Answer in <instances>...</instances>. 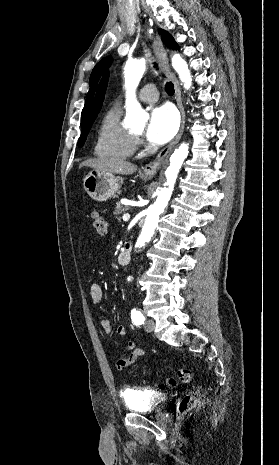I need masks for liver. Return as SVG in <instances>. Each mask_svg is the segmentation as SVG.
I'll list each match as a JSON object with an SVG mask.
<instances>
[{"instance_id":"obj_1","label":"liver","mask_w":279,"mask_h":465,"mask_svg":"<svg viewBox=\"0 0 279 465\" xmlns=\"http://www.w3.org/2000/svg\"><path fill=\"white\" fill-rule=\"evenodd\" d=\"M79 167H91L100 172L121 175H130L137 170V165L133 163L122 159L105 157L86 160Z\"/></svg>"}]
</instances>
